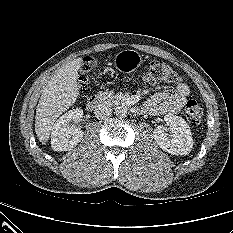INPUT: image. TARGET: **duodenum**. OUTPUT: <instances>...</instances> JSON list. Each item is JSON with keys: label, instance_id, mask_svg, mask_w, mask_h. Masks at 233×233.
<instances>
[{"label": "duodenum", "instance_id": "410a0bca", "mask_svg": "<svg viewBox=\"0 0 233 233\" xmlns=\"http://www.w3.org/2000/svg\"><path fill=\"white\" fill-rule=\"evenodd\" d=\"M122 103L124 105H126L128 108H130L131 111L134 113H141L142 112V107H139L138 105H136L135 103H133L130 100H123ZM99 104H100V100H99L98 96L93 95L87 100L86 108L89 111H94L98 108Z\"/></svg>", "mask_w": 233, "mask_h": 233}]
</instances>
